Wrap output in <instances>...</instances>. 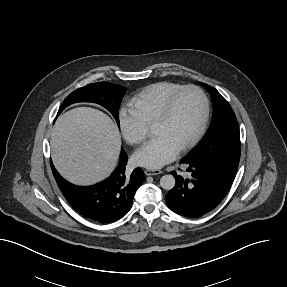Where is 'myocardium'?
<instances>
[{
	"label": "myocardium",
	"instance_id": "myocardium-1",
	"mask_svg": "<svg viewBox=\"0 0 287 287\" xmlns=\"http://www.w3.org/2000/svg\"><path fill=\"white\" fill-rule=\"evenodd\" d=\"M186 91H195L200 96L201 102H202V116H201V120H200V123H199L197 129L192 134V136L188 139V141L183 146H181L179 148V152H185L188 149H190L199 140V138L201 137V135L203 134V132L206 129L208 119H209V100H208V97L206 96L205 92L200 87L195 86V85H186V86L180 87L178 90H176L171 95H169V97L166 99L161 111L159 112V114L157 115V117L155 118V120L152 124V127H153L156 124H160V123L165 122L169 118V116L172 112V107H173L176 99L182 93H184Z\"/></svg>",
	"mask_w": 287,
	"mask_h": 287
}]
</instances>
